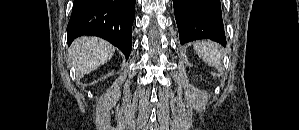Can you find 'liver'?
<instances>
[{
	"mask_svg": "<svg viewBox=\"0 0 299 130\" xmlns=\"http://www.w3.org/2000/svg\"><path fill=\"white\" fill-rule=\"evenodd\" d=\"M115 47L93 36L80 37L70 47V57L78 74H88L108 62Z\"/></svg>",
	"mask_w": 299,
	"mask_h": 130,
	"instance_id": "liver-1",
	"label": "liver"
}]
</instances>
